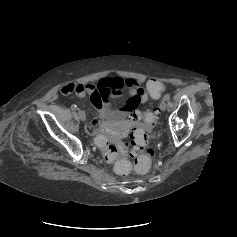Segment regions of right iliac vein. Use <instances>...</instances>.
Returning <instances> with one entry per match:
<instances>
[{
  "label": "right iliac vein",
  "instance_id": "obj_1",
  "mask_svg": "<svg viewBox=\"0 0 237 237\" xmlns=\"http://www.w3.org/2000/svg\"><path fill=\"white\" fill-rule=\"evenodd\" d=\"M78 117L81 121H85L86 120V115L83 111H78Z\"/></svg>",
  "mask_w": 237,
  "mask_h": 237
}]
</instances>
